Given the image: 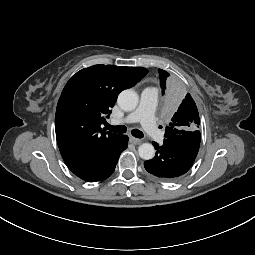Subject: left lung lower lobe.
Returning <instances> with one entry per match:
<instances>
[{"instance_id":"1","label":"left lung lower lobe","mask_w":255,"mask_h":255,"mask_svg":"<svg viewBox=\"0 0 255 255\" xmlns=\"http://www.w3.org/2000/svg\"><path fill=\"white\" fill-rule=\"evenodd\" d=\"M200 131L164 139L159 146L152 142L156 154L151 160L145 161L148 173L161 181H175L183 176L192 166L200 146Z\"/></svg>"}]
</instances>
